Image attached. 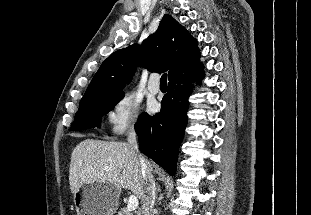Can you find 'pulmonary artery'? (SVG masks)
Listing matches in <instances>:
<instances>
[{
    "instance_id": "1",
    "label": "pulmonary artery",
    "mask_w": 311,
    "mask_h": 215,
    "mask_svg": "<svg viewBox=\"0 0 311 215\" xmlns=\"http://www.w3.org/2000/svg\"><path fill=\"white\" fill-rule=\"evenodd\" d=\"M148 90L152 93V94H157L160 91V87L158 84V76L157 75H152L149 83H148Z\"/></svg>"
}]
</instances>
